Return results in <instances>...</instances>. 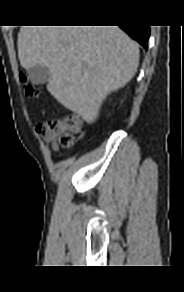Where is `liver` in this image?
<instances>
[{"label":"liver","mask_w":184,"mask_h":292,"mask_svg":"<svg viewBox=\"0 0 184 292\" xmlns=\"http://www.w3.org/2000/svg\"><path fill=\"white\" fill-rule=\"evenodd\" d=\"M17 46L21 66L47 67L50 94L87 123L139 64L137 44L118 26H23Z\"/></svg>","instance_id":"liver-1"}]
</instances>
